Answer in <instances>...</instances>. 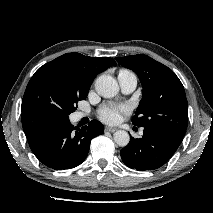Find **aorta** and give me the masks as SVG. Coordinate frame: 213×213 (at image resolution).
Returning <instances> with one entry per match:
<instances>
[{
	"label": "aorta",
	"instance_id": "1",
	"mask_svg": "<svg viewBox=\"0 0 213 213\" xmlns=\"http://www.w3.org/2000/svg\"><path fill=\"white\" fill-rule=\"evenodd\" d=\"M95 89L100 96L104 98H111L118 93L119 86L117 81L112 76L101 75L96 79ZM113 137L114 142L121 147L127 146L130 141L128 132L124 130L116 131Z\"/></svg>",
	"mask_w": 213,
	"mask_h": 213
}]
</instances>
